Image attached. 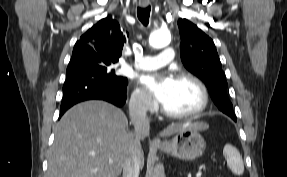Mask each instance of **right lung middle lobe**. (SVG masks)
I'll return each mask as SVG.
<instances>
[{
	"mask_svg": "<svg viewBox=\"0 0 287 177\" xmlns=\"http://www.w3.org/2000/svg\"><path fill=\"white\" fill-rule=\"evenodd\" d=\"M115 62L102 59H82L69 62L66 75L93 74L112 81H126L112 66Z\"/></svg>",
	"mask_w": 287,
	"mask_h": 177,
	"instance_id": "right-lung-middle-lobe-1",
	"label": "right lung middle lobe"
}]
</instances>
